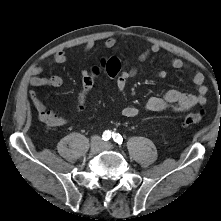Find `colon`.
<instances>
[{
  "instance_id": "5ec220e1",
  "label": "colon",
  "mask_w": 221,
  "mask_h": 221,
  "mask_svg": "<svg viewBox=\"0 0 221 221\" xmlns=\"http://www.w3.org/2000/svg\"><path fill=\"white\" fill-rule=\"evenodd\" d=\"M101 68L104 69L106 77L110 80L115 79L121 73L120 62L116 58H110L103 61L100 66H94L90 73L84 77L82 81V89L79 94V105L82 107L85 103L86 97L92 88L96 77L99 75ZM206 116V111L201 109L194 113H188L183 118L185 125H194L202 122Z\"/></svg>"
}]
</instances>
